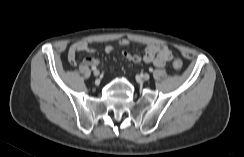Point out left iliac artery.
<instances>
[{
	"mask_svg": "<svg viewBox=\"0 0 244 157\" xmlns=\"http://www.w3.org/2000/svg\"><path fill=\"white\" fill-rule=\"evenodd\" d=\"M149 71H150V72H152V71H153V69H152V68H150V69H149Z\"/></svg>",
	"mask_w": 244,
	"mask_h": 157,
	"instance_id": "left-iliac-artery-1",
	"label": "left iliac artery"
}]
</instances>
